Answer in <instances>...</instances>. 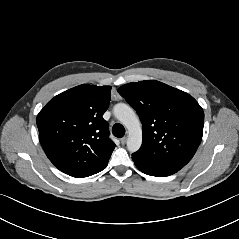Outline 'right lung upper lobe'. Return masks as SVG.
Listing matches in <instances>:
<instances>
[{"label": "right lung upper lobe", "mask_w": 239, "mask_h": 239, "mask_svg": "<svg viewBox=\"0 0 239 239\" xmlns=\"http://www.w3.org/2000/svg\"><path fill=\"white\" fill-rule=\"evenodd\" d=\"M111 86L82 84L60 93L37 115L40 143L60 171L82 178L106 168L115 148L103 114Z\"/></svg>", "instance_id": "obj_1"}]
</instances>
